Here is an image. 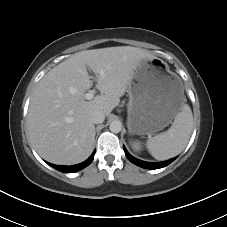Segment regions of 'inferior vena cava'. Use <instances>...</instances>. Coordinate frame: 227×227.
I'll use <instances>...</instances> for the list:
<instances>
[{
  "label": "inferior vena cava",
  "mask_w": 227,
  "mask_h": 227,
  "mask_svg": "<svg viewBox=\"0 0 227 227\" xmlns=\"http://www.w3.org/2000/svg\"><path fill=\"white\" fill-rule=\"evenodd\" d=\"M105 119V115L103 113V111L101 110H95L93 111L92 115H91V121L94 124H99L102 123Z\"/></svg>",
  "instance_id": "602c4592"
}]
</instances>
